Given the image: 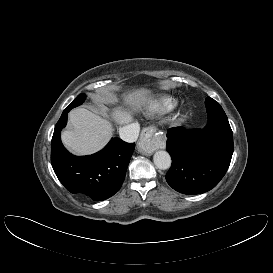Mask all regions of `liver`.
Returning <instances> with one entry per match:
<instances>
[{
    "instance_id": "6515ba94",
    "label": "liver",
    "mask_w": 273,
    "mask_h": 273,
    "mask_svg": "<svg viewBox=\"0 0 273 273\" xmlns=\"http://www.w3.org/2000/svg\"><path fill=\"white\" fill-rule=\"evenodd\" d=\"M146 89L136 90L125 96V101L140 108L145 104H153L148 98ZM116 123L125 125L133 118L127 111L117 109L112 114ZM71 130H65L61 134L63 144L77 155H90L101 150L113 135L112 124L85 108H75L69 113Z\"/></svg>"
}]
</instances>
